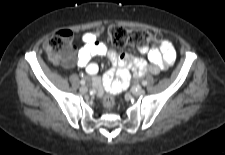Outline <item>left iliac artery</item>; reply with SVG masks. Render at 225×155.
I'll list each match as a JSON object with an SVG mask.
<instances>
[{"label":"left iliac artery","instance_id":"1","mask_svg":"<svg viewBox=\"0 0 225 155\" xmlns=\"http://www.w3.org/2000/svg\"><path fill=\"white\" fill-rule=\"evenodd\" d=\"M142 85H143V86H146V85H147V82H146V81H143V82H142Z\"/></svg>","mask_w":225,"mask_h":155}]
</instances>
